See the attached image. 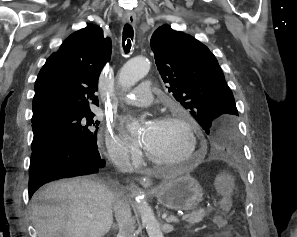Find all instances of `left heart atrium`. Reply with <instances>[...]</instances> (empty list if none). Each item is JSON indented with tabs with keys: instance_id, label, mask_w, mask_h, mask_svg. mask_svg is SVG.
<instances>
[{
	"instance_id": "left-heart-atrium-1",
	"label": "left heart atrium",
	"mask_w": 297,
	"mask_h": 237,
	"mask_svg": "<svg viewBox=\"0 0 297 237\" xmlns=\"http://www.w3.org/2000/svg\"><path fill=\"white\" fill-rule=\"evenodd\" d=\"M129 122H130V119L128 118L124 119L125 124ZM156 124H157V121L155 120H152V119L147 120L143 125L140 135L136 136L135 140L142 146L146 147L152 138V135L156 128Z\"/></svg>"
}]
</instances>
